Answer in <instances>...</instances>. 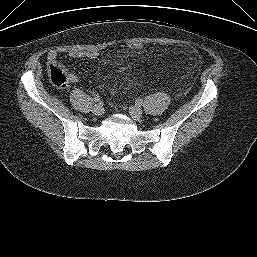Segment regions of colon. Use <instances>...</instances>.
I'll return each mask as SVG.
<instances>
[{"label": "colon", "instance_id": "colon-1", "mask_svg": "<svg viewBox=\"0 0 257 257\" xmlns=\"http://www.w3.org/2000/svg\"><path fill=\"white\" fill-rule=\"evenodd\" d=\"M128 47L131 50L139 51L144 48V44L140 42H129ZM49 79L52 84L58 87H64L69 83V76L66 71L58 64L54 63L49 66Z\"/></svg>", "mask_w": 257, "mask_h": 257}]
</instances>
